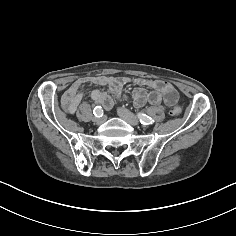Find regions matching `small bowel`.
Returning a JSON list of instances; mask_svg holds the SVG:
<instances>
[{
	"label": "small bowel",
	"mask_w": 236,
	"mask_h": 236,
	"mask_svg": "<svg viewBox=\"0 0 236 236\" xmlns=\"http://www.w3.org/2000/svg\"><path fill=\"white\" fill-rule=\"evenodd\" d=\"M85 79L76 80L63 94L62 104L65 110L73 113L84 96V91L81 89L86 82ZM89 81L100 86L109 88V93L93 89L90 92L92 100L105 110H110L113 107L115 100L122 97L123 87L130 82L127 77H108L96 76ZM134 83L140 88L132 92L134 103L137 107H142L147 103L154 106L165 103L168 106L176 104L178 93L175 88L168 82L139 78L134 80Z\"/></svg>",
	"instance_id": "obj_1"
}]
</instances>
